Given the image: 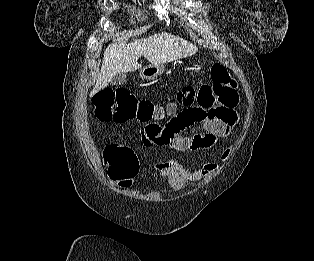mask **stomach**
Returning a JSON list of instances; mask_svg holds the SVG:
<instances>
[{"label": "stomach", "mask_w": 314, "mask_h": 261, "mask_svg": "<svg viewBox=\"0 0 314 261\" xmlns=\"http://www.w3.org/2000/svg\"><path fill=\"white\" fill-rule=\"evenodd\" d=\"M164 69V64H150L140 70V77L144 80H154L163 73Z\"/></svg>", "instance_id": "1"}]
</instances>
